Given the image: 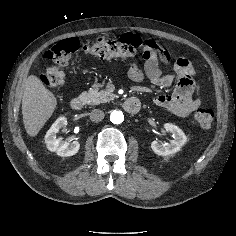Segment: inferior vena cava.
I'll use <instances>...</instances> for the list:
<instances>
[{"mask_svg":"<svg viewBox=\"0 0 236 236\" xmlns=\"http://www.w3.org/2000/svg\"><path fill=\"white\" fill-rule=\"evenodd\" d=\"M104 112L100 109H94L90 112V119L92 122H100L104 119Z\"/></svg>","mask_w":236,"mask_h":236,"instance_id":"inferior-vena-cava-1","label":"inferior vena cava"}]
</instances>
